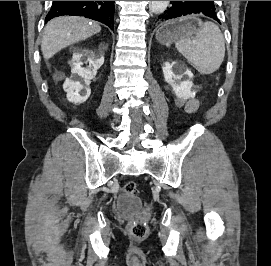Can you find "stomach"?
Masks as SVG:
<instances>
[{"mask_svg": "<svg viewBox=\"0 0 271 266\" xmlns=\"http://www.w3.org/2000/svg\"><path fill=\"white\" fill-rule=\"evenodd\" d=\"M200 25V21L194 17L174 20L158 28L156 39L161 44L169 46L181 37L193 35Z\"/></svg>", "mask_w": 271, "mask_h": 266, "instance_id": "obj_1", "label": "stomach"}]
</instances>
